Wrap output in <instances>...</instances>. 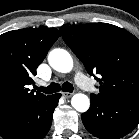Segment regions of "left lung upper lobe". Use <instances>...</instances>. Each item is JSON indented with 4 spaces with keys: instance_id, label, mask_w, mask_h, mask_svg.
<instances>
[{
    "instance_id": "1",
    "label": "left lung upper lobe",
    "mask_w": 139,
    "mask_h": 139,
    "mask_svg": "<svg viewBox=\"0 0 139 139\" xmlns=\"http://www.w3.org/2000/svg\"><path fill=\"white\" fill-rule=\"evenodd\" d=\"M63 40L83 62L87 72L99 75V94L113 101L139 94V40L128 31L107 23L60 28Z\"/></svg>"
}]
</instances>
